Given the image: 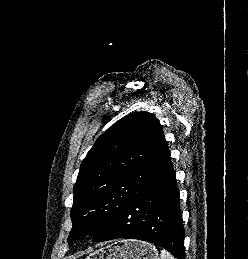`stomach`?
<instances>
[{
  "instance_id": "obj_1",
  "label": "stomach",
  "mask_w": 248,
  "mask_h": 259,
  "mask_svg": "<svg viewBox=\"0 0 248 259\" xmlns=\"http://www.w3.org/2000/svg\"><path fill=\"white\" fill-rule=\"evenodd\" d=\"M85 259H160L155 246L139 240H119L90 253Z\"/></svg>"
}]
</instances>
